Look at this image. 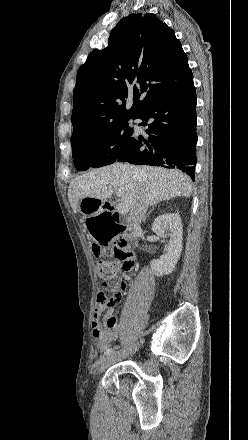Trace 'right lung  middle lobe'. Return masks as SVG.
Wrapping results in <instances>:
<instances>
[{"mask_svg": "<svg viewBox=\"0 0 248 440\" xmlns=\"http://www.w3.org/2000/svg\"><path fill=\"white\" fill-rule=\"evenodd\" d=\"M126 119L105 130L71 137L72 154L76 169L83 171L117 161L127 151L133 129Z\"/></svg>", "mask_w": 248, "mask_h": 440, "instance_id": "1", "label": "right lung middle lobe"}]
</instances>
